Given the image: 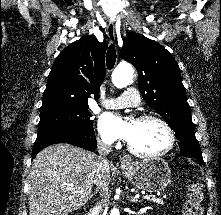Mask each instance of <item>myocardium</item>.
<instances>
[{
    "label": "myocardium",
    "instance_id": "1",
    "mask_svg": "<svg viewBox=\"0 0 221 215\" xmlns=\"http://www.w3.org/2000/svg\"><path fill=\"white\" fill-rule=\"evenodd\" d=\"M137 121H140V122L156 121V122L160 123L167 133L168 143H167L166 147L160 151L153 152V153H144V152H141V151H138L137 149H135L128 142L127 149L130 153H132L133 155H135L137 157H141V158H156V157H160V156H163V155L169 153L173 149V147L175 145V141H176L175 133H174L172 127L170 126V124L164 118H162L158 115L145 114V115L140 116L137 119Z\"/></svg>",
    "mask_w": 221,
    "mask_h": 215
}]
</instances>
